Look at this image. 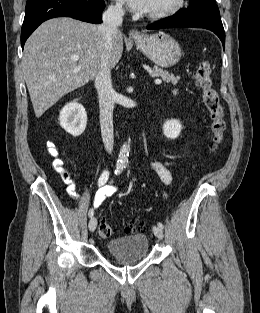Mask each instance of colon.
Here are the masks:
<instances>
[{
    "mask_svg": "<svg viewBox=\"0 0 260 313\" xmlns=\"http://www.w3.org/2000/svg\"><path fill=\"white\" fill-rule=\"evenodd\" d=\"M194 80L202 91L203 102L210 116L211 144L210 151L216 152L221 145L226 132L225 110L221 103L219 94L213 85L211 77V65L208 61H202L194 72ZM143 225H126L125 231L131 232L142 230ZM116 233L114 227L106 222H100L99 235L102 238H110Z\"/></svg>",
    "mask_w": 260,
    "mask_h": 313,
    "instance_id": "obj_1",
    "label": "colon"
}]
</instances>
